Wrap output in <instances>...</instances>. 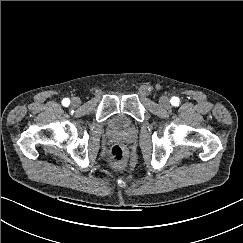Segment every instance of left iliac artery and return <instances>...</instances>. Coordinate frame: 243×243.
I'll return each mask as SVG.
<instances>
[{"label":"left iliac artery","instance_id":"1","mask_svg":"<svg viewBox=\"0 0 243 243\" xmlns=\"http://www.w3.org/2000/svg\"><path fill=\"white\" fill-rule=\"evenodd\" d=\"M170 102L173 106H178L180 101L178 97H173L171 98Z\"/></svg>","mask_w":243,"mask_h":243}]
</instances>
